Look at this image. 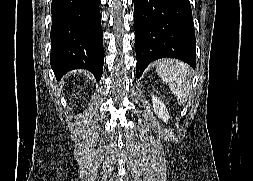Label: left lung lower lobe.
<instances>
[{"mask_svg": "<svg viewBox=\"0 0 253 181\" xmlns=\"http://www.w3.org/2000/svg\"><path fill=\"white\" fill-rule=\"evenodd\" d=\"M136 77L154 60L177 58L195 68V32L189 0H133Z\"/></svg>", "mask_w": 253, "mask_h": 181, "instance_id": "obj_1", "label": "left lung lower lobe"}]
</instances>
